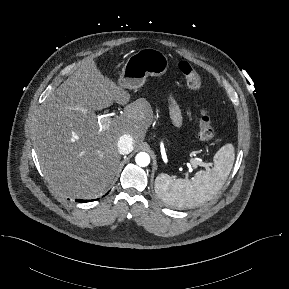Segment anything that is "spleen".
<instances>
[{"label": "spleen", "instance_id": "3e777b00", "mask_svg": "<svg viewBox=\"0 0 289 289\" xmlns=\"http://www.w3.org/2000/svg\"><path fill=\"white\" fill-rule=\"evenodd\" d=\"M234 159V146L225 144L214 155L211 170H200L191 180L159 174L155 179V192L167 204L179 208L198 207L219 192L231 172Z\"/></svg>", "mask_w": 289, "mask_h": 289}]
</instances>
